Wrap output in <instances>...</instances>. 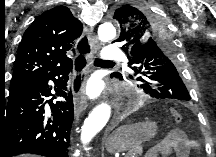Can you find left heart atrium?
Listing matches in <instances>:
<instances>
[{
  "instance_id": "left-heart-atrium-1",
  "label": "left heart atrium",
  "mask_w": 216,
  "mask_h": 157,
  "mask_svg": "<svg viewBox=\"0 0 216 157\" xmlns=\"http://www.w3.org/2000/svg\"><path fill=\"white\" fill-rule=\"evenodd\" d=\"M98 93H99L98 86L95 83L91 84L88 88V94L90 96H96V95H98Z\"/></svg>"
}]
</instances>
